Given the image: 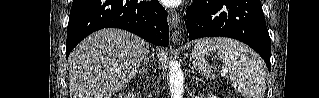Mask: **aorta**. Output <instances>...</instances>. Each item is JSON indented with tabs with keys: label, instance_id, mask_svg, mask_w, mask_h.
Masks as SVG:
<instances>
[{
	"label": "aorta",
	"instance_id": "762f6f07",
	"mask_svg": "<svg viewBox=\"0 0 319 98\" xmlns=\"http://www.w3.org/2000/svg\"><path fill=\"white\" fill-rule=\"evenodd\" d=\"M169 80L171 98H182L183 72L180 65L175 61H170L169 64Z\"/></svg>",
	"mask_w": 319,
	"mask_h": 98
}]
</instances>
